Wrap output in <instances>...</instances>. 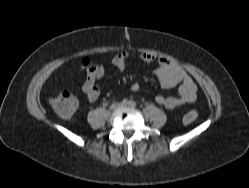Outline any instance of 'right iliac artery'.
Wrapping results in <instances>:
<instances>
[{"instance_id":"right-iliac-artery-1","label":"right iliac artery","mask_w":249,"mask_h":188,"mask_svg":"<svg viewBox=\"0 0 249 188\" xmlns=\"http://www.w3.org/2000/svg\"><path fill=\"white\" fill-rule=\"evenodd\" d=\"M128 104V101L127 100H123L122 101V105L126 106Z\"/></svg>"}]
</instances>
